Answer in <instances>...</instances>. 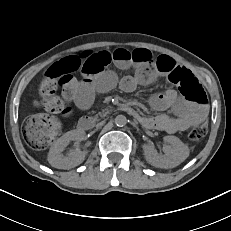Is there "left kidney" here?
Here are the masks:
<instances>
[{
    "instance_id": "1",
    "label": "left kidney",
    "mask_w": 231,
    "mask_h": 231,
    "mask_svg": "<svg viewBox=\"0 0 231 231\" xmlns=\"http://www.w3.org/2000/svg\"><path fill=\"white\" fill-rule=\"evenodd\" d=\"M164 155H159L151 145H143L144 155L148 163L159 168H174L189 156L188 147L175 136L164 137Z\"/></svg>"
}]
</instances>
